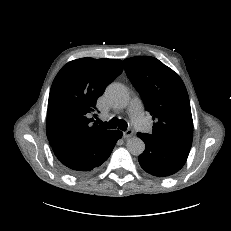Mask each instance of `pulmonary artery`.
Masks as SVG:
<instances>
[{"instance_id": "obj_1", "label": "pulmonary artery", "mask_w": 231, "mask_h": 231, "mask_svg": "<svg viewBox=\"0 0 231 231\" xmlns=\"http://www.w3.org/2000/svg\"><path fill=\"white\" fill-rule=\"evenodd\" d=\"M128 113L130 115L132 124L142 130L148 131L149 127L144 116L143 107L141 100L138 97H133L129 106H128Z\"/></svg>"}]
</instances>
